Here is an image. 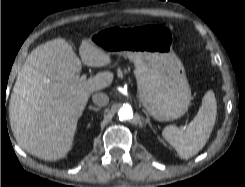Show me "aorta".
<instances>
[{"instance_id": "obj_1", "label": "aorta", "mask_w": 245, "mask_h": 187, "mask_svg": "<svg viewBox=\"0 0 245 187\" xmlns=\"http://www.w3.org/2000/svg\"><path fill=\"white\" fill-rule=\"evenodd\" d=\"M119 119L121 121L130 120L133 117L132 108L129 106H123L118 112Z\"/></svg>"}]
</instances>
